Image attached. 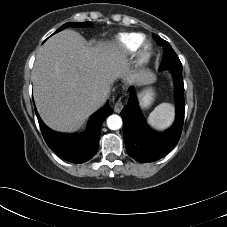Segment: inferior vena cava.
<instances>
[{"label":"inferior vena cava","mask_w":227,"mask_h":227,"mask_svg":"<svg viewBox=\"0 0 227 227\" xmlns=\"http://www.w3.org/2000/svg\"><path fill=\"white\" fill-rule=\"evenodd\" d=\"M92 98H93L95 103L99 104V103H102L105 100L106 96L103 93L97 92V93L93 94Z\"/></svg>","instance_id":"obj_1"}]
</instances>
